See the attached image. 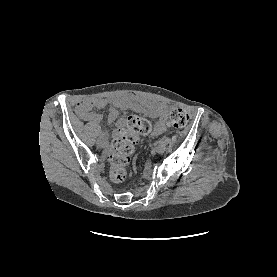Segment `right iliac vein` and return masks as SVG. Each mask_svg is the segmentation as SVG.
<instances>
[{
	"instance_id": "1",
	"label": "right iliac vein",
	"mask_w": 277,
	"mask_h": 277,
	"mask_svg": "<svg viewBox=\"0 0 277 277\" xmlns=\"http://www.w3.org/2000/svg\"><path fill=\"white\" fill-rule=\"evenodd\" d=\"M97 145H98L99 147H104V146H106V145H107V139H106L105 137H103V138H98V140H97Z\"/></svg>"
}]
</instances>
